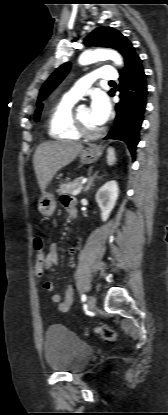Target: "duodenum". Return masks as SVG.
I'll return each mask as SVG.
<instances>
[{"label": "duodenum", "mask_w": 168, "mask_h": 415, "mask_svg": "<svg viewBox=\"0 0 168 415\" xmlns=\"http://www.w3.org/2000/svg\"><path fill=\"white\" fill-rule=\"evenodd\" d=\"M70 213H71V215L74 216L75 215V209H73Z\"/></svg>", "instance_id": "duodenum-1"}]
</instances>
